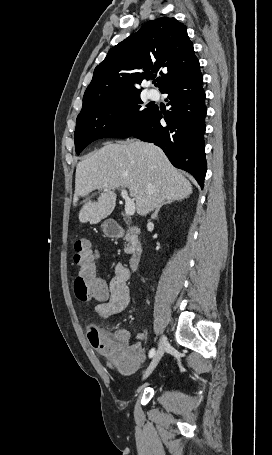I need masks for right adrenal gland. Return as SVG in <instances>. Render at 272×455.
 <instances>
[{
	"label": "right adrenal gland",
	"mask_w": 272,
	"mask_h": 455,
	"mask_svg": "<svg viewBox=\"0 0 272 455\" xmlns=\"http://www.w3.org/2000/svg\"><path fill=\"white\" fill-rule=\"evenodd\" d=\"M171 202H173V200H166V201L162 202V203L156 208L155 212L152 214L151 219L157 218L158 212H159L160 208H161L162 206L166 205V204H170Z\"/></svg>",
	"instance_id": "obj_1"
}]
</instances>
